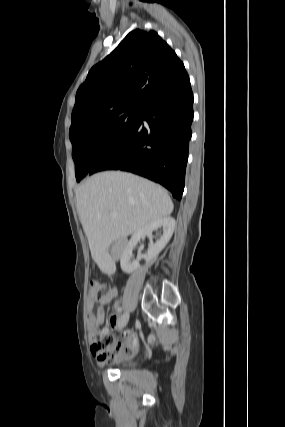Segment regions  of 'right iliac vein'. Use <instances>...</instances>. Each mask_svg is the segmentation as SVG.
<instances>
[{
    "instance_id": "right-iliac-vein-1",
    "label": "right iliac vein",
    "mask_w": 285,
    "mask_h": 427,
    "mask_svg": "<svg viewBox=\"0 0 285 427\" xmlns=\"http://www.w3.org/2000/svg\"><path fill=\"white\" fill-rule=\"evenodd\" d=\"M128 320H129V314L124 313L119 320V328H124L127 325Z\"/></svg>"
}]
</instances>
